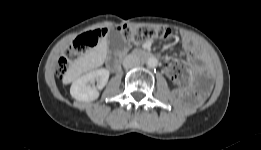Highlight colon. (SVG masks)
I'll return each instance as SVG.
<instances>
[{"instance_id": "5ec220e1", "label": "colon", "mask_w": 261, "mask_h": 150, "mask_svg": "<svg viewBox=\"0 0 261 150\" xmlns=\"http://www.w3.org/2000/svg\"><path fill=\"white\" fill-rule=\"evenodd\" d=\"M120 29L124 38L134 44L157 38L171 39L174 36L172 29L160 26L134 27L124 25ZM106 34L107 29L101 28L86 32L76 38L57 62L56 74L59 77H64L68 73L72 62L79 58L85 51L96 46ZM166 74L178 85H184L188 81V71L179 62L168 63L166 65Z\"/></svg>"}]
</instances>
